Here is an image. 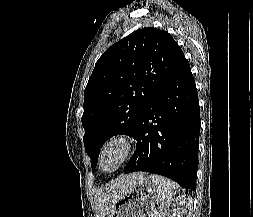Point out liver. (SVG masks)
<instances>
[{
  "label": "liver",
  "instance_id": "liver-1",
  "mask_svg": "<svg viewBox=\"0 0 253 217\" xmlns=\"http://www.w3.org/2000/svg\"><path fill=\"white\" fill-rule=\"evenodd\" d=\"M144 173L121 175L96 191L95 202L97 217H112L118 199L124 196Z\"/></svg>",
  "mask_w": 253,
  "mask_h": 217
}]
</instances>
